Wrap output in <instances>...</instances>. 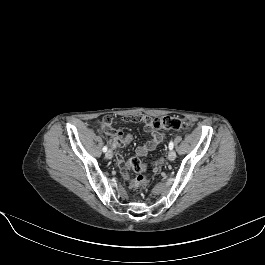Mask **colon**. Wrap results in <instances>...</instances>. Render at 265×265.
Wrapping results in <instances>:
<instances>
[{
  "instance_id": "colon-1",
  "label": "colon",
  "mask_w": 265,
  "mask_h": 265,
  "mask_svg": "<svg viewBox=\"0 0 265 265\" xmlns=\"http://www.w3.org/2000/svg\"><path fill=\"white\" fill-rule=\"evenodd\" d=\"M104 124L106 127H110L113 124V119L109 116L104 118ZM152 125L156 129H167L172 131H187L190 129L188 121L183 120L175 116H163L157 117L152 121ZM162 161H155L153 165L159 167ZM127 166L129 169L134 171L137 176L131 180V186L133 188H146L149 185V179L145 173L148 170V163L142 161L137 157L129 159Z\"/></svg>"
}]
</instances>
